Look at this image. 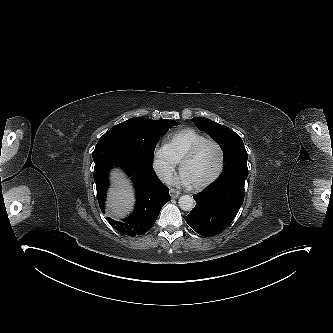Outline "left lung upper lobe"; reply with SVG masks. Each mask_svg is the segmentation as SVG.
I'll return each mask as SVG.
<instances>
[{"instance_id": "5c2ea615", "label": "left lung upper lobe", "mask_w": 333, "mask_h": 333, "mask_svg": "<svg viewBox=\"0 0 333 333\" xmlns=\"http://www.w3.org/2000/svg\"><path fill=\"white\" fill-rule=\"evenodd\" d=\"M192 121L217 141L223 150L225 168L217 180L244 185L248 176V156L240 136L230 128L208 118L194 117Z\"/></svg>"}]
</instances>
